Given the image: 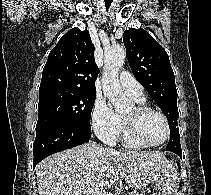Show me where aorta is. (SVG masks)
Masks as SVG:
<instances>
[{"label":"aorta","mask_w":211,"mask_h":195,"mask_svg":"<svg viewBox=\"0 0 211 195\" xmlns=\"http://www.w3.org/2000/svg\"><path fill=\"white\" fill-rule=\"evenodd\" d=\"M125 57V49L121 46L110 48L105 52L104 57L103 92L113 104L116 112H123L133 106V102L124 95L118 79V73L124 64Z\"/></svg>","instance_id":"aorta-1"}]
</instances>
